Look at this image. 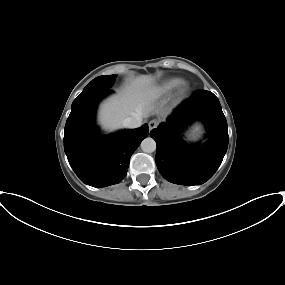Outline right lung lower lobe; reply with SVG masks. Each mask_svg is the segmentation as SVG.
I'll return each instance as SVG.
<instances>
[{
    "label": "right lung lower lobe",
    "mask_w": 285,
    "mask_h": 285,
    "mask_svg": "<svg viewBox=\"0 0 285 285\" xmlns=\"http://www.w3.org/2000/svg\"><path fill=\"white\" fill-rule=\"evenodd\" d=\"M113 90L88 94L72 104L64 132L69 164L82 182L93 187L117 184L126 176L131 155L148 136V125L112 135L99 134L95 126L98 102Z\"/></svg>",
    "instance_id": "right-lung-lower-lobe-1"
}]
</instances>
